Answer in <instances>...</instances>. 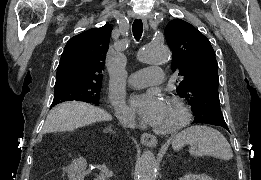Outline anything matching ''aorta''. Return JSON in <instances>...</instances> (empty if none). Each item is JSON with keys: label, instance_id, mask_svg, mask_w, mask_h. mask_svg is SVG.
Masks as SVG:
<instances>
[{"label": "aorta", "instance_id": "1", "mask_svg": "<svg viewBox=\"0 0 261 180\" xmlns=\"http://www.w3.org/2000/svg\"><path fill=\"white\" fill-rule=\"evenodd\" d=\"M171 52L168 47L155 44H147L141 47L137 53L140 62L148 64H162L170 59ZM156 160L154 154L145 151L137 164L138 180H156Z\"/></svg>", "mask_w": 261, "mask_h": 180}]
</instances>
